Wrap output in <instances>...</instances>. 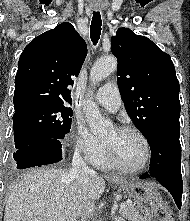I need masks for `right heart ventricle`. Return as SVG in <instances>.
<instances>
[{"mask_svg": "<svg viewBox=\"0 0 190 221\" xmlns=\"http://www.w3.org/2000/svg\"><path fill=\"white\" fill-rule=\"evenodd\" d=\"M94 166L100 169H111L115 168V166L108 159L104 146L101 152L91 161Z\"/></svg>", "mask_w": 190, "mask_h": 221, "instance_id": "e07e8e85", "label": "right heart ventricle"}]
</instances>
